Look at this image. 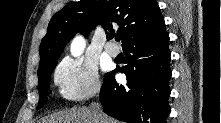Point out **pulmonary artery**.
Masks as SVG:
<instances>
[{
	"label": "pulmonary artery",
	"instance_id": "e3ab8cb5",
	"mask_svg": "<svg viewBox=\"0 0 221 123\" xmlns=\"http://www.w3.org/2000/svg\"><path fill=\"white\" fill-rule=\"evenodd\" d=\"M105 50L111 57L118 56L119 51H120L119 48L113 43L107 44L105 47Z\"/></svg>",
	"mask_w": 221,
	"mask_h": 123
}]
</instances>
